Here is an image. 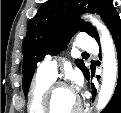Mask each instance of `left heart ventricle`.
<instances>
[{
    "instance_id": "1",
    "label": "left heart ventricle",
    "mask_w": 121,
    "mask_h": 113,
    "mask_svg": "<svg viewBox=\"0 0 121 113\" xmlns=\"http://www.w3.org/2000/svg\"><path fill=\"white\" fill-rule=\"evenodd\" d=\"M78 105V95L71 88H60L54 93L53 111L65 113L74 110Z\"/></svg>"
}]
</instances>
